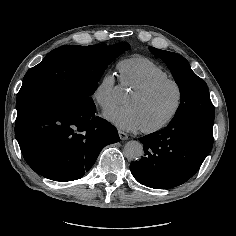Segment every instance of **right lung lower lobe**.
<instances>
[{"mask_svg":"<svg viewBox=\"0 0 236 236\" xmlns=\"http://www.w3.org/2000/svg\"><path fill=\"white\" fill-rule=\"evenodd\" d=\"M95 112V104L66 101L17 115L15 134L28 165L55 181L81 178L106 145L120 140L117 129Z\"/></svg>","mask_w":236,"mask_h":236,"instance_id":"98d812e1","label":"right lung lower lobe"}]
</instances>
